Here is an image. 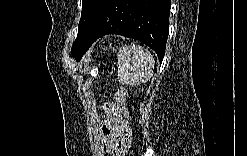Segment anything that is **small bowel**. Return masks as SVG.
<instances>
[{"instance_id":"obj_1","label":"small bowel","mask_w":247,"mask_h":156,"mask_svg":"<svg viewBox=\"0 0 247 156\" xmlns=\"http://www.w3.org/2000/svg\"><path fill=\"white\" fill-rule=\"evenodd\" d=\"M105 119L101 125V134L107 150L119 155L126 151L131 143L129 125L122 120L114 102L104 104Z\"/></svg>"}]
</instances>
